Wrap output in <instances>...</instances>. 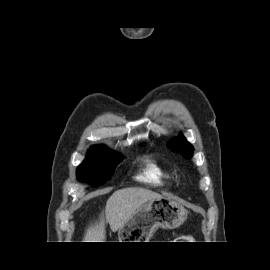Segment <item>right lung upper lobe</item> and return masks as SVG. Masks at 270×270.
<instances>
[{
	"label": "right lung upper lobe",
	"mask_w": 270,
	"mask_h": 270,
	"mask_svg": "<svg viewBox=\"0 0 270 270\" xmlns=\"http://www.w3.org/2000/svg\"><path fill=\"white\" fill-rule=\"evenodd\" d=\"M99 148H105V147H103V146H91L90 150H92V149H99Z\"/></svg>",
	"instance_id": "cb5924a9"
}]
</instances>
